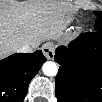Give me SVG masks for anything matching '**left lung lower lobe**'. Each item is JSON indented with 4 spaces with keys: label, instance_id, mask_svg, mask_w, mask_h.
Segmentation results:
<instances>
[{
    "label": "left lung lower lobe",
    "instance_id": "obj_1",
    "mask_svg": "<svg viewBox=\"0 0 102 102\" xmlns=\"http://www.w3.org/2000/svg\"><path fill=\"white\" fill-rule=\"evenodd\" d=\"M58 102H102V31L81 34L55 51Z\"/></svg>",
    "mask_w": 102,
    "mask_h": 102
}]
</instances>
